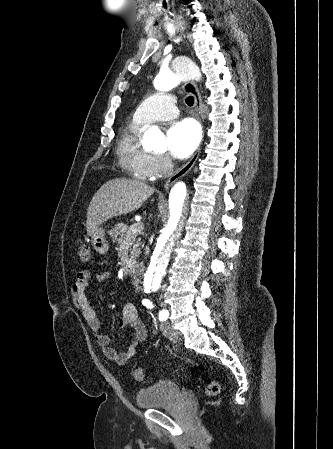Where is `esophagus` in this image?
<instances>
[{"label": "esophagus", "mask_w": 333, "mask_h": 449, "mask_svg": "<svg viewBox=\"0 0 333 449\" xmlns=\"http://www.w3.org/2000/svg\"><path fill=\"white\" fill-rule=\"evenodd\" d=\"M184 90L186 93L191 94L194 97V103L196 110L199 114V117L202 121H204V111H203V103L201 94L199 92V89L197 88L196 84L194 82H186L184 84ZM201 152V148H199L195 154L192 156V158L173 176H171L167 181L165 182V187L172 185L180 178L184 177L194 166L195 162L197 161L199 155Z\"/></svg>", "instance_id": "1"}]
</instances>
